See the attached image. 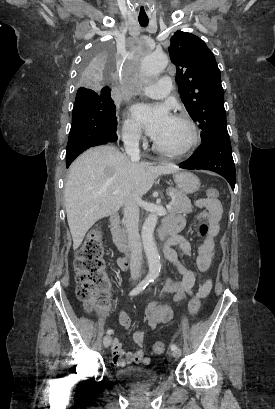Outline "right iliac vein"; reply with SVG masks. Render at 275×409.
<instances>
[{"label":"right iliac vein","mask_w":275,"mask_h":409,"mask_svg":"<svg viewBox=\"0 0 275 409\" xmlns=\"http://www.w3.org/2000/svg\"><path fill=\"white\" fill-rule=\"evenodd\" d=\"M111 341H112L111 336L106 335V336L103 338L104 347H109L110 344H111Z\"/></svg>","instance_id":"63e3f726"}]
</instances>
